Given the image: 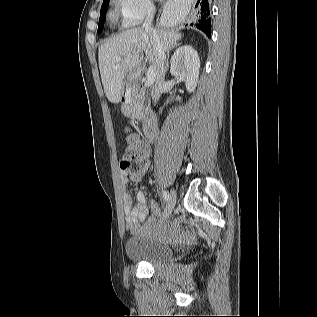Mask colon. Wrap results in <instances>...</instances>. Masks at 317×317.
I'll return each mask as SVG.
<instances>
[{
    "label": "colon",
    "instance_id": "colon-1",
    "mask_svg": "<svg viewBox=\"0 0 317 317\" xmlns=\"http://www.w3.org/2000/svg\"><path fill=\"white\" fill-rule=\"evenodd\" d=\"M120 166L131 179H138L144 171L139 141L132 135L128 137V148L120 161Z\"/></svg>",
    "mask_w": 317,
    "mask_h": 317
}]
</instances>
